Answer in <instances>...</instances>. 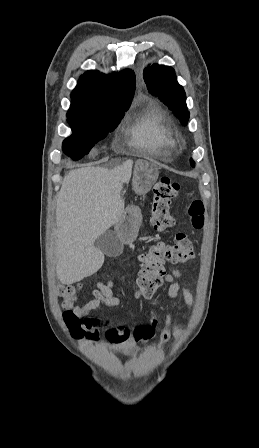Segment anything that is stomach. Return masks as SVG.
Wrapping results in <instances>:
<instances>
[{
  "label": "stomach",
  "instance_id": "1",
  "mask_svg": "<svg viewBox=\"0 0 259 448\" xmlns=\"http://www.w3.org/2000/svg\"><path fill=\"white\" fill-rule=\"evenodd\" d=\"M140 164H148V162H140ZM142 217L140 206H125L118 224H115V232L121 242L131 244L136 240Z\"/></svg>",
  "mask_w": 259,
  "mask_h": 448
}]
</instances>
